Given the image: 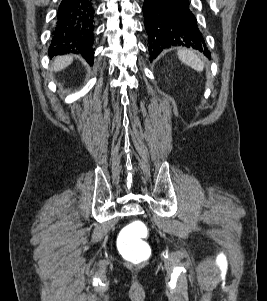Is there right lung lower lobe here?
<instances>
[{
	"mask_svg": "<svg viewBox=\"0 0 267 301\" xmlns=\"http://www.w3.org/2000/svg\"><path fill=\"white\" fill-rule=\"evenodd\" d=\"M94 17L93 0H62L48 50L49 56L81 53L92 64Z\"/></svg>",
	"mask_w": 267,
	"mask_h": 301,
	"instance_id": "98d812e1",
	"label": "right lung lower lobe"
}]
</instances>
